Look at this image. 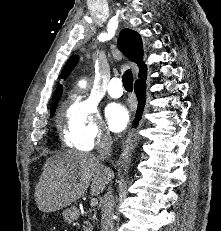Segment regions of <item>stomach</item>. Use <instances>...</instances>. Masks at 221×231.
I'll use <instances>...</instances> for the list:
<instances>
[{
  "mask_svg": "<svg viewBox=\"0 0 221 231\" xmlns=\"http://www.w3.org/2000/svg\"><path fill=\"white\" fill-rule=\"evenodd\" d=\"M63 218L66 222L72 223L77 219V210L74 207L67 208L62 212Z\"/></svg>",
  "mask_w": 221,
  "mask_h": 231,
  "instance_id": "1",
  "label": "stomach"
}]
</instances>
